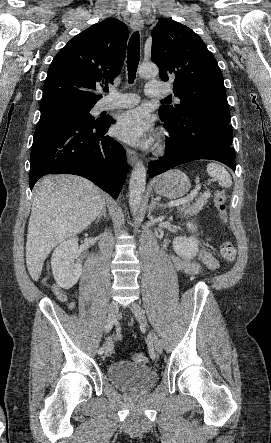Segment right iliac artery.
<instances>
[{"label": "right iliac artery", "mask_w": 271, "mask_h": 443, "mask_svg": "<svg viewBox=\"0 0 271 443\" xmlns=\"http://www.w3.org/2000/svg\"><path fill=\"white\" fill-rule=\"evenodd\" d=\"M114 323H115V317H110L109 316L108 319H107L106 325H105V333L110 332V330L112 329ZM98 353L100 355H102L104 353V348L103 347L99 348Z\"/></svg>", "instance_id": "right-iliac-artery-1"}]
</instances>
